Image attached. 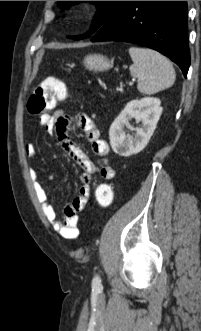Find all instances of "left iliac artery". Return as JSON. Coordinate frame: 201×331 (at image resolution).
Wrapping results in <instances>:
<instances>
[{"instance_id":"44dca946","label":"left iliac artery","mask_w":201,"mask_h":331,"mask_svg":"<svg viewBox=\"0 0 201 331\" xmlns=\"http://www.w3.org/2000/svg\"><path fill=\"white\" fill-rule=\"evenodd\" d=\"M92 287L93 289L95 290H99L101 289L102 285H101V279L98 275H96L94 278H93V281H92Z\"/></svg>"}]
</instances>
